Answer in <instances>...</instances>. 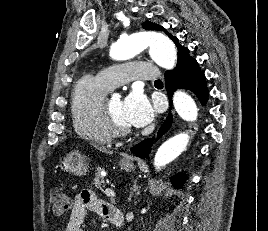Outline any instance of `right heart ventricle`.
Instances as JSON below:
<instances>
[{
    "mask_svg": "<svg viewBox=\"0 0 268 231\" xmlns=\"http://www.w3.org/2000/svg\"><path fill=\"white\" fill-rule=\"evenodd\" d=\"M110 90L98 78L85 76L77 83L70 103L75 132L101 145L109 144L114 137L104 114V102Z\"/></svg>",
    "mask_w": 268,
    "mask_h": 231,
    "instance_id": "obj_1",
    "label": "right heart ventricle"
}]
</instances>
